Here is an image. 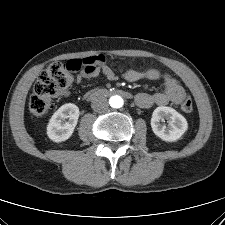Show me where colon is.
<instances>
[{"mask_svg":"<svg viewBox=\"0 0 225 225\" xmlns=\"http://www.w3.org/2000/svg\"><path fill=\"white\" fill-rule=\"evenodd\" d=\"M100 61V55L90 56L84 59H75L68 62H53L43 71L36 81L33 94L29 100V109L34 115L46 113L52 106L53 98L67 89L73 82V73L83 69L91 71ZM143 77L151 75L149 70H131ZM156 78H167L165 73H154ZM181 109L189 113L193 110V102L189 96H185L180 103Z\"/></svg>","mask_w":225,"mask_h":225,"instance_id":"obj_1","label":"colon"}]
</instances>
